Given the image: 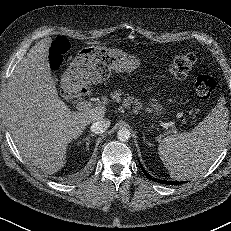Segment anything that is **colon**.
<instances>
[{
    "mask_svg": "<svg viewBox=\"0 0 231 231\" xmlns=\"http://www.w3.org/2000/svg\"><path fill=\"white\" fill-rule=\"evenodd\" d=\"M70 49L65 38L56 39L48 53V59L52 68H58ZM196 56L193 53H182L177 55L171 65L170 74L175 79H182L193 68ZM193 88L196 95L201 99H207L216 88L214 78L207 74H198L193 79Z\"/></svg>",
    "mask_w": 231,
    "mask_h": 231,
    "instance_id": "obj_1",
    "label": "colon"
}]
</instances>
